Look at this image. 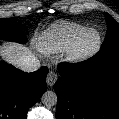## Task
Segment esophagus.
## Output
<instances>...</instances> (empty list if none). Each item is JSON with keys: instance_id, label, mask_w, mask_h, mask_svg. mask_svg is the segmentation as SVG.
Returning <instances> with one entry per match:
<instances>
[{"instance_id": "1", "label": "esophagus", "mask_w": 119, "mask_h": 119, "mask_svg": "<svg viewBox=\"0 0 119 119\" xmlns=\"http://www.w3.org/2000/svg\"><path fill=\"white\" fill-rule=\"evenodd\" d=\"M57 80V75L53 71L47 74L46 82L49 86H53Z\"/></svg>"}]
</instances>
